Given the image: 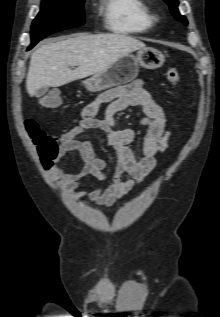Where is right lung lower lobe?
Masks as SVG:
<instances>
[{
  "label": "right lung lower lobe",
  "instance_id": "1",
  "mask_svg": "<svg viewBox=\"0 0 220 317\" xmlns=\"http://www.w3.org/2000/svg\"><path fill=\"white\" fill-rule=\"evenodd\" d=\"M33 46H34V45L31 44V45L29 46L28 50L31 49Z\"/></svg>",
  "mask_w": 220,
  "mask_h": 317
}]
</instances>
